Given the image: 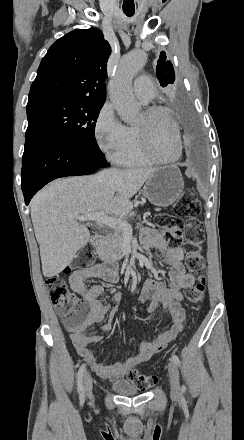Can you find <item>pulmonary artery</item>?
Wrapping results in <instances>:
<instances>
[{
	"label": "pulmonary artery",
	"instance_id": "obj_1",
	"mask_svg": "<svg viewBox=\"0 0 244 440\" xmlns=\"http://www.w3.org/2000/svg\"><path fill=\"white\" fill-rule=\"evenodd\" d=\"M135 96L143 104H148L152 99L157 98V91L154 90V83L149 82L148 75H136Z\"/></svg>",
	"mask_w": 244,
	"mask_h": 440
}]
</instances>
